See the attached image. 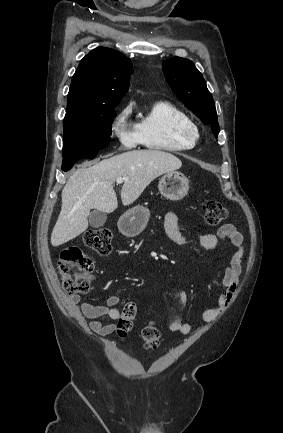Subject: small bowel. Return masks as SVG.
<instances>
[{
    "label": "small bowel",
    "mask_w": 283,
    "mask_h": 433,
    "mask_svg": "<svg viewBox=\"0 0 283 433\" xmlns=\"http://www.w3.org/2000/svg\"><path fill=\"white\" fill-rule=\"evenodd\" d=\"M164 225L166 234L172 242L177 245H185L189 242V239L179 229L178 218L175 213L169 212L165 215ZM196 240L199 246L205 250L215 249L220 240L229 241L235 248L222 280V285L225 290L220 294L217 305L214 308L205 310L202 315L205 322H212L226 310L233 300L239 282L241 264L244 256L243 238L234 225L225 224L221 226L215 234L196 233ZM180 298L181 300H186V293L181 292ZM119 303L120 298L117 295L109 296L105 305H93L89 302H82L79 295H72L68 300V308L75 317L89 319V327L92 331L101 336H106L114 331L115 325L112 323H104L101 321V318L108 317L112 320L118 319L120 316V311L117 308ZM168 328L171 332L187 334L191 331V324L177 318L169 324Z\"/></svg>",
    "instance_id": "obj_1"
}]
</instances>
